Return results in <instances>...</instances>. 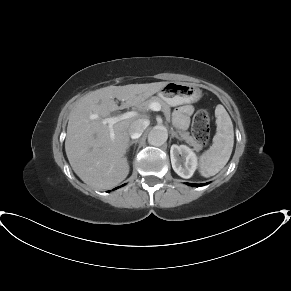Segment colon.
<instances>
[{
    "label": "colon",
    "instance_id": "obj_1",
    "mask_svg": "<svg viewBox=\"0 0 291 291\" xmlns=\"http://www.w3.org/2000/svg\"><path fill=\"white\" fill-rule=\"evenodd\" d=\"M210 115L206 110L198 111L192 123V132L196 141L205 145L209 140Z\"/></svg>",
    "mask_w": 291,
    "mask_h": 291
}]
</instances>
